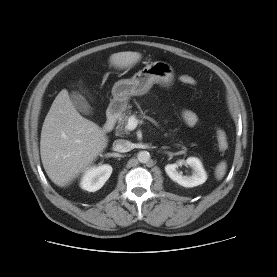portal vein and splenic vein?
<instances>
[{
    "mask_svg": "<svg viewBox=\"0 0 277 277\" xmlns=\"http://www.w3.org/2000/svg\"><path fill=\"white\" fill-rule=\"evenodd\" d=\"M139 124V120L135 116H130L125 126L126 130L132 131Z\"/></svg>",
    "mask_w": 277,
    "mask_h": 277,
    "instance_id": "obj_1",
    "label": "portal vein and splenic vein"
}]
</instances>
